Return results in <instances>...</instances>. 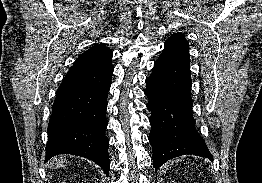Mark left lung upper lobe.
<instances>
[{"mask_svg":"<svg viewBox=\"0 0 262 183\" xmlns=\"http://www.w3.org/2000/svg\"><path fill=\"white\" fill-rule=\"evenodd\" d=\"M164 48L182 51L189 54V44L181 33L171 35L164 44Z\"/></svg>","mask_w":262,"mask_h":183,"instance_id":"1","label":"left lung upper lobe"}]
</instances>
